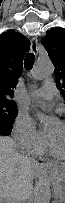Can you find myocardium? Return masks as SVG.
<instances>
[{
	"mask_svg": "<svg viewBox=\"0 0 65 203\" xmlns=\"http://www.w3.org/2000/svg\"><path fill=\"white\" fill-rule=\"evenodd\" d=\"M63 125H65V121L62 123ZM46 146L47 149L49 151V153L55 157V158H65V153H59L57 152V150L55 149L53 143L50 141V139L48 137H46Z\"/></svg>",
	"mask_w": 65,
	"mask_h": 203,
	"instance_id": "myocardium-1",
	"label": "myocardium"
}]
</instances>
